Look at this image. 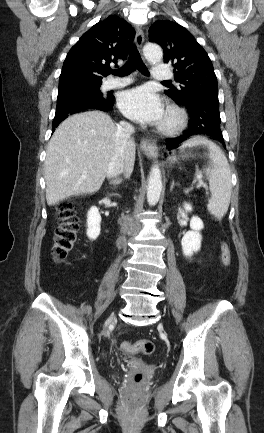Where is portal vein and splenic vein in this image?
<instances>
[{"mask_svg": "<svg viewBox=\"0 0 264 433\" xmlns=\"http://www.w3.org/2000/svg\"><path fill=\"white\" fill-rule=\"evenodd\" d=\"M201 186H203L204 188H206V189H207V185H206V184H204V182H203V181H200V182H199V184H198V187H201Z\"/></svg>", "mask_w": 264, "mask_h": 433, "instance_id": "portal-vein-and-splenic-vein-1", "label": "portal vein and splenic vein"}]
</instances>
